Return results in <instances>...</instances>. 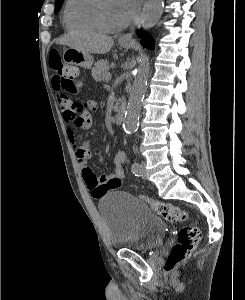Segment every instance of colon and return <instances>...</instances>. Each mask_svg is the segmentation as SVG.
Instances as JSON below:
<instances>
[{
	"mask_svg": "<svg viewBox=\"0 0 245 300\" xmlns=\"http://www.w3.org/2000/svg\"><path fill=\"white\" fill-rule=\"evenodd\" d=\"M49 66L54 71L55 77L61 86L69 92L76 91L78 87V70L69 64L62 62L60 54L52 51L49 55ZM76 107H81L82 102L74 103ZM149 204L152 211L171 223H182L189 219L188 213L170 203L143 197ZM201 233L197 227L184 226L179 230L177 243L173 246L164 269L166 272L173 271L180 263L186 260L200 241Z\"/></svg>",
	"mask_w": 245,
	"mask_h": 300,
	"instance_id": "colon-1",
	"label": "colon"
}]
</instances>
